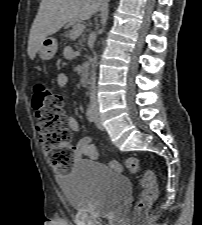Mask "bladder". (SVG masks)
<instances>
[{"mask_svg":"<svg viewBox=\"0 0 202 225\" xmlns=\"http://www.w3.org/2000/svg\"><path fill=\"white\" fill-rule=\"evenodd\" d=\"M131 190L132 184L123 173L91 159L75 162L62 183L71 210L98 217L116 214Z\"/></svg>","mask_w":202,"mask_h":225,"instance_id":"obj_1","label":"bladder"}]
</instances>
